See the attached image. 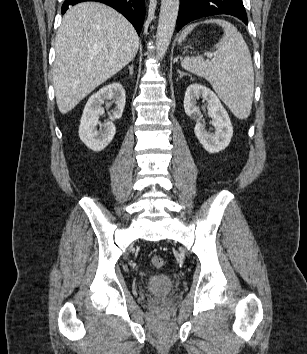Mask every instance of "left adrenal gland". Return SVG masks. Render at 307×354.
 <instances>
[{"instance_id":"a2214340","label":"left adrenal gland","mask_w":307,"mask_h":354,"mask_svg":"<svg viewBox=\"0 0 307 354\" xmlns=\"http://www.w3.org/2000/svg\"><path fill=\"white\" fill-rule=\"evenodd\" d=\"M177 72L179 73V77L182 78L184 75H188L180 70H177Z\"/></svg>"}]
</instances>
